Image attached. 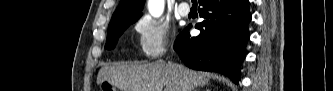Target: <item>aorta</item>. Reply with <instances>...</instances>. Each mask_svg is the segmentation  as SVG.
Listing matches in <instances>:
<instances>
[{
  "mask_svg": "<svg viewBox=\"0 0 333 91\" xmlns=\"http://www.w3.org/2000/svg\"><path fill=\"white\" fill-rule=\"evenodd\" d=\"M164 9L163 0H151L149 2V12L154 17H159Z\"/></svg>",
  "mask_w": 333,
  "mask_h": 91,
  "instance_id": "762f6f07",
  "label": "aorta"
}]
</instances>
